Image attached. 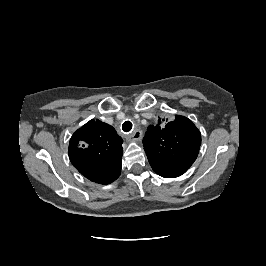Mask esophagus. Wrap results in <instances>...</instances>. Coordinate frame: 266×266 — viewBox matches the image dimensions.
Here are the masks:
<instances>
[{
  "label": "esophagus",
  "mask_w": 266,
  "mask_h": 266,
  "mask_svg": "<svg viewBox=\"0 0 266 266\" xmlns=\"http://www.w3.org/2000/svg\"><path fill=\"white\" fill-rule=\"evenodd\" d=\"M131 137H132V139H133L134 141H139V140H141V138H142V131L139 130V129H136V130L132 133Z\"/></svg>",
  "instance_id": "esophagus-1"
}]
</instances>
